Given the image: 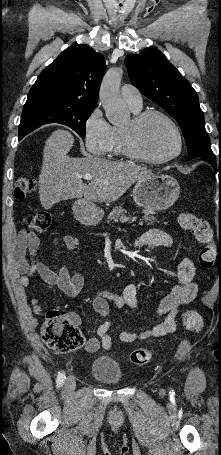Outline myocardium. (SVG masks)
<instances>
[{"label": "myocardium", "mask_w": 221, "mask_h": 455, "mask_svg": "<svg viewBox=\"0 0 221 455\" xmlns=\"http://www.w3.org/2000/svg\"><path fill=\"white\" fill-rule=\"evenodd\" d=\"M160 117L165 120L173 129L177 138V150L172 155L165 158H154L142 151L137 144V136L141 127L151 118ZM122 147L127 156L151 164H164L179 157L183 151V137L176 122L166 113L148 109L139 112L131 119L129 126L122 128Z\"/></svg>", "instance_id": "1"}]
</instances>
